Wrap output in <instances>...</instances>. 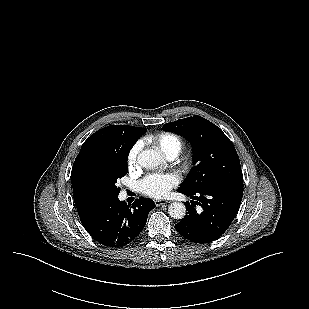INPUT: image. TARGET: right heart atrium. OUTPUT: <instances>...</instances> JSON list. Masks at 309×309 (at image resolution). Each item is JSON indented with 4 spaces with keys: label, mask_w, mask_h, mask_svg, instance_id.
Segmentation results:
<instances>
[{
    "label": "right heart atrium",
    "mask_w": 309,
    "mask_h": 309,
    "mask_svg": "<svg viewBox=\"0 0 309 309\" xmlns=\"http://www.w3.org/2000/svg\"><path fill=\"white\" fill-rule=\"evenodd\" d=\"M139 152L140 144L138 143L132 146V148L129 150L127 155V165L129 168H134L136 166Z\"/></svg>",
    "instance_id": "right-heart-atrium-1"
}]
</instances>
